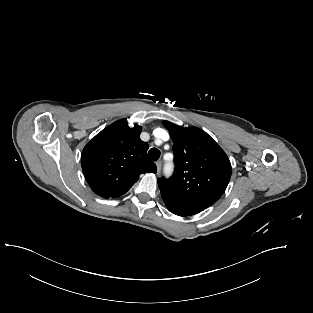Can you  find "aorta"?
Returning <instances> with one entry per match:
<instances>
[{
	"label": "aorta",
	"instance_id": "762f6f07",
	"mask_svg": "<svg viewBox=\"0 0 313 313\" xmlns=\"http://www.w3.org/2000/svg\"><path fill=\"white\" fill-rule=\"evenodd\" d=\"M171 170H172L171 164H167V165L165 166V173H166V174H170V173H171Z\"/></svg>",
	"mask_w": 313,
	"mask_h": 313
}]
</instances>
